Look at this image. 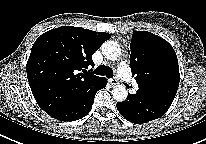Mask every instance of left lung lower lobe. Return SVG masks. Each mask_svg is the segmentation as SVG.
Wrapping results in <instances>:
<instances>
[{"label":"left lung lower lobe","instance_id":"obj_1","mask_svg":"<svg viewBox=\"0 0 206 144\" xmlns=\"http://www.w3.org/2000/svg\"><path fill=\"white\" fill-rule=\"evenodd\" d=\"M174 98L167 94L149 96L145 86H139L136 94H128L127 100L117 103L119 113L128 121L142 124L162 117Z\"/></svg>","mask_w":206,"mask_h":144}]
</instances>
